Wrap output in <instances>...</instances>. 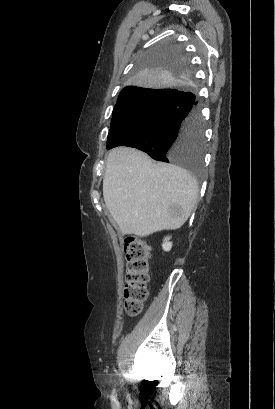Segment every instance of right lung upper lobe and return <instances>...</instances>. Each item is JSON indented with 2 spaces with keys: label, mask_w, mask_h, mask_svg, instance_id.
Segmentation results:
<instances>
[{
  "label": "right lung upper lobe",
  "mask_w": 275,
  "mask_h": 409,
  "mask_svg": "<svg viewBox=\"0 0 275 409\" xmlns=\"http://www.w3.org/2000/svg\"><path fill=\"white\" fill-rule=\"evenodd\" d=\"M149 91H156V90H135L134 86H128L120 92L117 103L122 101L124 98H126L129 95H132L135 93H141V92H149Z\"/></svg>",
  "instance_id": "right-lung-upper-lobe-1"
}]
</instances>
